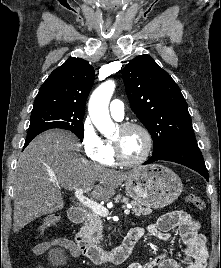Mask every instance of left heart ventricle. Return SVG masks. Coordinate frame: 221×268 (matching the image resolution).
<instances>
[{"mask_svg":"<svg viewBox=\"0 0 221 268\" xmlns=\"http://www.w3.org/2000/svg\"><path fill=\"white\" fill-rule=\"evenodd\" d=\"M113 140L118 143L123 156L129 160L139 158L146 147L145 136L138 129L122 130L119 128Z\"/></svg>","mask_w":221,"mask_h":268,"instance_id":"obj_1","label":"left heart ventricle"}]
</instances>
